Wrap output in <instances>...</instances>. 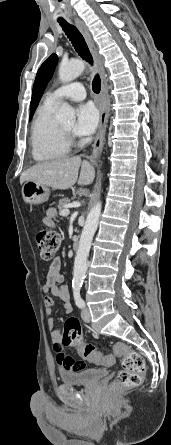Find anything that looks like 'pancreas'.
Masks as SVG:
<instances>
[{
    "instance_id": "obj_1",
    "label": "pancreas",
    "mask_w": 171,
    "mask_h": 445,
    "mask_svg": "<svg viewBox=\"0 0 171 445\" xmlns=\"http://www.w3.org/2000/svg\"><path fill=\"white\" fill-rule=\"evenodd\" d=\"M69 203V199L68 198H62L59 200V204H58V209L61 212L62 210H64V206Z\"/></svg>"
}]
</instances>
